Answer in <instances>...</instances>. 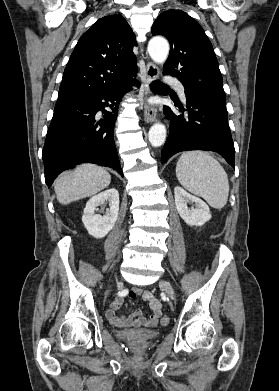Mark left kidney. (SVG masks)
Returning a JSON list of instances; mask_svg holds the SVG:
<instances>
[{"mask_svg":"<svg viewBox=\"0 0 279 391\" xmlns=\"http://www.w3.org/2000/svg\"><path fill=\"white\" fill-rule=\"evenodd\" d=\"M174 195L177 211L188 225L202 226L211 219L210 209L202 199L191 195L179 186L175 187ZM190 203H194L195 208H189Z\"/></svg>","mask_w":279,"mask_h":391,"instance_id":"left-kidney-1","label":"left kidney"}]
</instances>
